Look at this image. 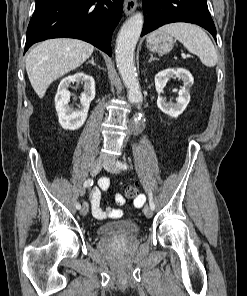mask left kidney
<instances>
[{
    "label": "left kidney",
    "instance_id": "5707ae66",
    "mask_svg": "<svg viewBox=\"0 0 247 296\" xmlns=\"http://www.w3.org/2000/svg\"><path fill=\"white\" fill-rule=\"evenodd\" d=\"M171 78H179L183 81L184 86L179 91V96L175 104L167 103L166 99L160 96L163 88L166 83ZM194 83V78L191 73L186 69H166L164 71L159 72L155 76V87L159 96L157 99L158 108L165 114L170 115L172 117H178L183 111L186 109L189 101H190V93L189 89Z\"/></svg>",
    "mask_w": 247,
    "mask_h": 296
}]
</instances>
